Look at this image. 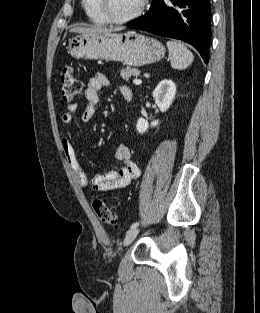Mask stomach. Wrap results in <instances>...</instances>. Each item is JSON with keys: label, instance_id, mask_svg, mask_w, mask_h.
<instances>
[{"label": "stomach", "instance_id": "obj_1", "mask_svg": "<svg viewBox=\"0 0 260 313\" xmlns=\"http://www.w3.org/2000/svg\"><path fill=\"white\" fill-rule=\"evenodd\" d=\"M68 53L76 59L119 61L139 67L161 60L165 47L136 32L81 34L69 41Z\"/></svg>", "mask_w": 260, "mask_h": 313}]
</instances>
